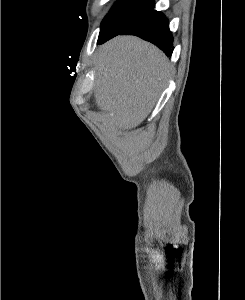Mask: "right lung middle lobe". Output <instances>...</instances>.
I'll list each match as a JSON object with an SVG mask.
<instances>
[{"label":"right lung middle lobe","instance_id":"dd1d6c3e","mask_svg":"<svg viewBox=\"0 0 245 300\" xmlns=\"http://www.w3.org/2000/svg\"><path fill=\"white\" fill-rule=\"evenodd\" d=\"M153 10V2L119 0L104 18L99 39L120 33Z\"/></svg>","mask_w":245,"mask_h":300}]
</instances>
